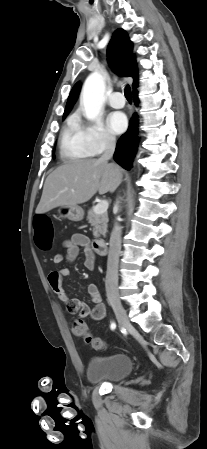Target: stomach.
I'll use <instances>...</instances> for the list:
<instances>
[{
	"mask_svg": "<svg viewBox=\"0 0 207 449\" xmlns=\"http://www.w3.org/2000/svg\"><path fill=\"white\" fill-rule=\"evenodd\" d=\"M59 215L71 221L78 222L84 218V210L78 205H63L60 206Z\"/></svg>",
	"mask_w": 207,
	"mask_h": 449,
	"instance_id": "0dacf381",
	"label": "stomach"
}]
</instances>
